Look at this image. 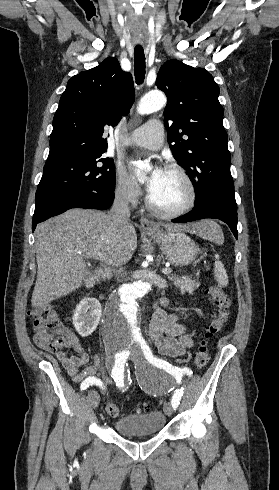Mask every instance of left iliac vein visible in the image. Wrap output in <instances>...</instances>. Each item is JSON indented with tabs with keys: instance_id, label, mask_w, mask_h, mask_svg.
Here are the masks:
<instances>
[{
	"instance_id": "4c4485c4",
	"label": "left iliac vein",
	"mask_w": 279,
	"mask_h": 490,
	"mask_svg": "<svg viewBox=\"0 0 279 490\" xmlns=\"http://www.w3.org/2000/svg\"><path fill=\"white\" fill-rule=\"evenodd\" d=\"M130 358L134 360V356H133V357L131 356ZM165 412H166V414H167L168 416H172V414H173V409H172V406H171L170 404H166V405H165Z\"/></svg>"
}]
</instances>
